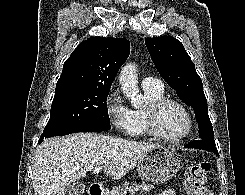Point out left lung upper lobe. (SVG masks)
<instances>
[{"label": "left lung upper lobe", "mask_w": 245, "mask_h": 195, "mask_svg": "<svg viewBox=\"0 0 245 195\" xmlns=\"http://www.w3.org/2000/svg\"><path fill=\"white\" fill-rule=\"evenodd\" d=\"M145 44L160 75L179 98L193 108L200 140L215 145L202 80L182 43L174 37L163 36L146 38Z\"/></svg>", "instance_id": "left-lung-upper-lobe-1"}]
</instances>
